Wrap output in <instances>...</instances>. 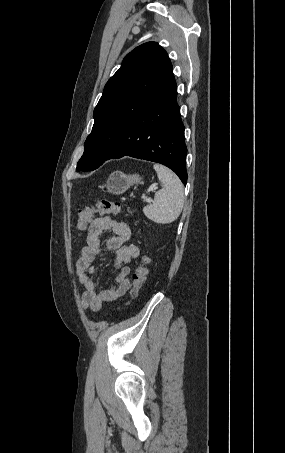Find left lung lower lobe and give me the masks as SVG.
Here are the masks:
<instances>
[{
	"label": "left lung lower lobe",
	"instance_id": "0a47b994",
	"mask_svg": "<svg viewBox=\"0 0 285 453\" xmlns=\"http://www.w3.org/2000/svg\"><path fill=\"white\" fill-rule=\"evenodd\" d=\"M186 155L184 125L171 69L153 99L131 123L106 160L131 156L161 163L186 184Z\"/></svg>",
	"mask_w": 285,
	"mask_h": 453
}]
</instances>
